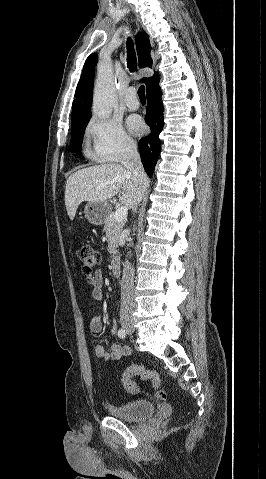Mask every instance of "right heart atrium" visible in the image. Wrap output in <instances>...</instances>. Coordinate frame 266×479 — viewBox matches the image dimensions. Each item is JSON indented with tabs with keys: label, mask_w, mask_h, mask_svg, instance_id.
Segmentation results:
<instances>
[{
	"label": "right heart atrium",
	"mask_w": 266,
	"mask_h": 479,
	"mask_svg": "<svg viewBox=\"0 0 266 479\" xmlns=\"http://www.w3.org/2000/svg\"><path fill=\"white\" fill-rule=\"evenodd\" d=\"M89 155L100 162H119L135 151L133 139L117 120L93 117L86 128Z\"/></svg>",
	"instance_id": "right-heart-atrium-1"
}]
</instances>
